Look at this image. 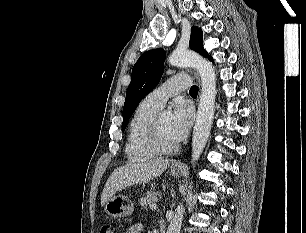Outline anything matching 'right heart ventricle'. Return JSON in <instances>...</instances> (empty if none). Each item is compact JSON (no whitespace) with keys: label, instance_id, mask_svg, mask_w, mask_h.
<instances>
[{"label":"right heart ventricle","instance_id":"right-heart-ventricle-1","mask_svg":"<svg viewBox=\"0 0 306 233\" xmlns=\"http://www.w3.org/2000/svg\"><path fill=\"white\" fill-rule=\"evenodd\" d=\"M158 111L143 101L134 112L129 123L125 146V154L129 161H146L157 156L148 144L147 133Z\"/></svg>","mask_w":306,"mask_h":233}]
</instances>
